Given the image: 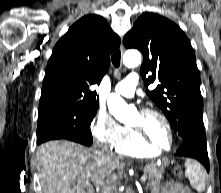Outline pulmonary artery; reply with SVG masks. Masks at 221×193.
<instances>
[{
	"label": "pulmonary artery",
	"mask_w": 221,
	"mask_h": 193,
	"mask_svg": "<svg viewBox=\"0 0 221 193\" xmlns=\"http://www.w3.org/2000/svg\"><path fill=\"white\" fill-rule=\"evenodd\" d=\"M138 80V74L136 72H131L115 86V91L121 95L131 97L135 93Z\"/></svg>",
	"instance_id": "obj_1"
}]
</instances>
